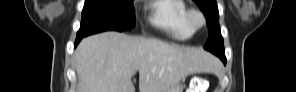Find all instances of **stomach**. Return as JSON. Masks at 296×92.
<instances>
[{"instance_id": "0dacf381", "label": "stomach", "mask_w": 296, "mask_h": 92, "mask_svg": "<svg viewBox=\"0 0 296 92\" xmlns=\"http://www.w3.org/2000/svg\"><path fill=\"white\" fill-rule=\"evenodd\" d=\"M184 86L180 83L168 88L165 92H183Z\"/></svg>"}]
</instances>
